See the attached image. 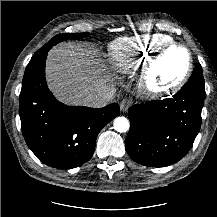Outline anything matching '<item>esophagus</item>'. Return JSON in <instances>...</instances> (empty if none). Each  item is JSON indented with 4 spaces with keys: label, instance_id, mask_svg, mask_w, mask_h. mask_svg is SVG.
I'll list each match as a JSON object with an SVG mask.
<instances>
[{
    "label": "esophagus",
    "instance_id": "obj_1",
    "mask_svg": "<svg viewBox=\"0 0 217 217\" xmlns=\"http://www.w3.org/2000/svg\"><path fill=\"white\" fill-rule=\"evenodd\" d=\"M132 104H133V102L131 100H129V99H123L120 102V110L122 112H126L132 106Z\"/></svg>",
    "mask_w": 217,
    "mask_h": 217
}]
</instances>
